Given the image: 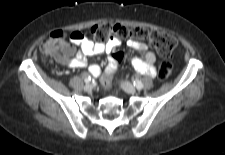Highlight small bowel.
Returning <instances> with one entry per match:
<instances>
[{
    "label": "small bowel",
    "mask_w": 225,
    "mask_h": 155,
    "mask_svg": "<svg viewBox=\"0 0 225 155\" xmlns=\"http://www.w3.org/2000/svg\"><path fill=\"white\" fill-rule=\"evenodd\" d=\"M71 41L73 44L78 45L79 49L75 57L67 62V65L71 68L88 67L90 74L96 77L101 74V69L95 64L88 65L87 57L91 55L108 54L110 61V57L113 55V49L120 43V41L116 39H109L106 42H93L87 39V34L83 30L73 31ZM127 44L131 48L143 53V57L132 59L131 63L134 69L141 74L150 77L155 76L156 69L154 63L156 61V56L153 52L149 51L147 43L129 39ZM107 69L112 75H117L120 72L119 67L115 66L113 63L108 64Z\"/></svg>",
    "instance_id": "obj_1"
}]
</instances>
